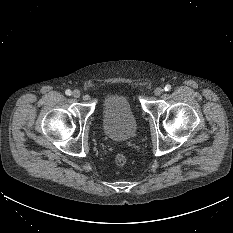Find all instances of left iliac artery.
<instances>
[{"mask_svg": "<svg viewBox=\"0 0 233 233\" xmlns=\"http://www.w3.org/2000/svg\"><path fill=\"white\" fill-rule=\"evenodd\" d=\"M164 89H165V91H170L171 90V85L167 84Z\"/></svg>", "mask_w": 233, "mask_h": 233, "instance_id": "obj_1", "label": "left iliac artery"}]
</instances>
